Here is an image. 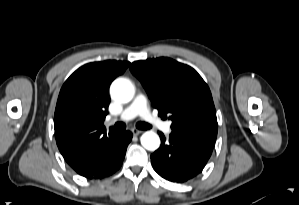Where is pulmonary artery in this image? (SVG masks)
Masks as SVG:
<instances>
[{"label": "pulmonary artery", "instance_id": "1", "mask_svg": "<svg viewBox=\"0 0 299 205\" xmlns=\"http://www.w3.org/2000/svg\"><path fill=\"white\" fill-rule=\"evenodd\" d=\"M137 116H140L148 124L159 127L167 134L171 132V122H163L154 116L148 108L146 97L142 94L135 97L133 102L121 113L119 119L128 121Z\"/></svg>", "mask_w": 299, "mask_h": 205}]
</instances>
